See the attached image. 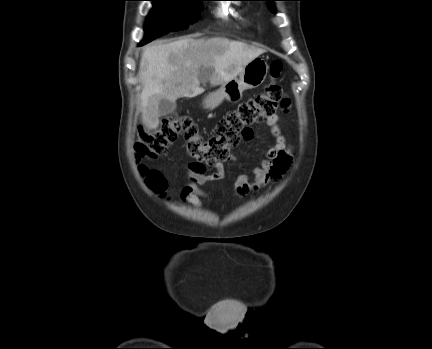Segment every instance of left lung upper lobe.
I'll return each mask as SVG.
<instances>
[{
  "label": "left lung upper lobe",
  "mask_w": 432,
  "mask_h": 349,
  "mask_svg": "<svg viewBox=\"0 0 432 349\" xmlns=\"http://www.w3.org/2000/svg\"><path fill=\"white\" fill-rule=\"evenodd\" d=\"M263 1H267V6H268V8H269L272 12H274L275 8H274V5L272 4V1H277V0H263Z\"/></svg>",
  "instance_id": "1"
}]
</instances>
